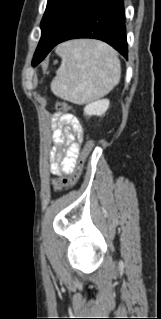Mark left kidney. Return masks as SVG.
<instances>
[{
	"label": "left kidney",
	"instance_id": "1",
	"mask_svg": "<svg viewBox=\"0 0 161 319\" xmlns=\"http://www.w3.org/2000/svg\"><path fill=\"white\" fill-rule=\"evenodd\" d=\"M109 104L108 99L91 102L84 107V114L87 116H102L108 110Z\"/></svg>",
	"mask_w": 161,
	"mask_h": 319
}]
</instances>
